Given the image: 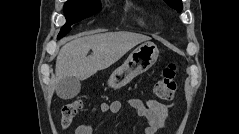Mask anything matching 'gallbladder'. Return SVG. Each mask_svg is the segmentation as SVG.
Masks as SVG:
<instances>
[{"mask_svg":"<svg viewBox=\"0 0 239 134\" xmlns=\"http://www.w3.org/2000/svg\"><path fill=\"white\" fill-rule=\"evenodd\" d=\"M81 89L80 80L75 77H66L59 81L56 86V93L61 99L74 98Z\"/></svg>","mask_w":239,"mask_h":134,"instance_id":"1","label":"gallbladder"}]
</instances>
